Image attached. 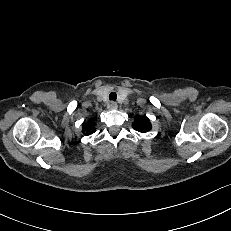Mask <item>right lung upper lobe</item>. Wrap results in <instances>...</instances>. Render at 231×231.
Wrapping results in <instances>:
<instances>
[{"label": "right lung upper lobe", "mask_w": 231, "mask_h": 231, "mask_svg": "<svg viewBox=\"0 0 231 231\" xmlns=\"http://www.w3.org/2000/svg\"><path fill=\"white\" fill-rule=\"evenodd\" d=\"M92 120H89L88 122L83 124V132L85 135H90L96 131Z\"/></svg>", "instance_id": "1"}]
</instances>
